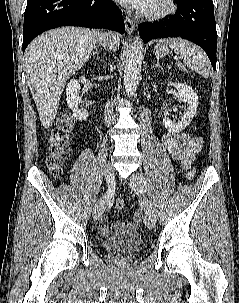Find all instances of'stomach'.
Instances as JSON below:
<instances>
[{"instance_id":"obj_1","label":"stomach","mask_w":239,"mask_h":303,"mask_svg":"<svg viewBox=\"0 0 239 303\" xmlns=\"http://www.w3.org/2000/svg\"><path fill=\"white\" fill-rule=\"evenodd\" d=\"M154 51H155V54L158 56V57H163L166 55L167 53V48L166 47H163V46H160L159 44L155 45L154 47Z\"/></svg>"}]
</instances>
